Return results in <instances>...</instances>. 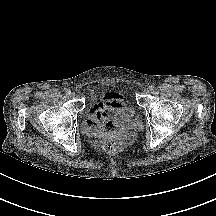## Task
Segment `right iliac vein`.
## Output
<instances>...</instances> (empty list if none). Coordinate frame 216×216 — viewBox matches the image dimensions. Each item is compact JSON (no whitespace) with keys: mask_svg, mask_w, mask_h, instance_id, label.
<instances>
[{"mask_svg":"<svg viewBox=\"0 0 216 216\" xmlns=\"http://www.w3.org/2000/svg\"><path fill=\"white\" fill-rule=\"evenodd\" d=\"M75 96H76V93H75V92H71V93H70V97L73 98V97H75Z\"/></svg>","mask_w":216,"mask_h":216,"instance_id":"63e3f726","label":"right iliac vein"}]
</instances>
